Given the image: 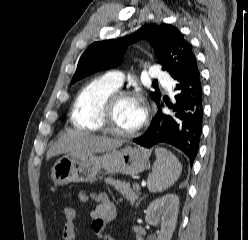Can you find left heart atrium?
<instances>
[{
    "label": "left heart atrium",
    "mask_w": 248,
    "mask_h": 240,
    "mask_svg": "<svg viewBox=\"0 0 248 240\" xmlns=\"http://www.w3.org/2000/svg\"><path fill=\"white\" fill-rule=\"evenodd\" d=\"M136 106L134 111V121L137 126L141 125L146 117V108L141 97H136Z\"/></svg>",
    "instance_id": "1"
}]
</instances>
